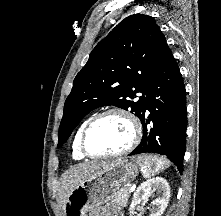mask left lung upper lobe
<instances>
[{
	"label": "left lung upper lobe",
	"instance_id": "1",
	"mask_svg": "<svg viewBox=\"0 0 221 216\" xmlns=\"http://www.w3.org/2000/svg\"><path fill=\"white\" fill-rule=\"evenodd\" d=\"M167 48L151 16L133 14L121 21L90 53L73 82L58 132L63 145L79 122L93 109L114 105L140 118L148 82ZM143 95L136 99V93Z\"/></svg>",
	"mask_w": 221,
	"mask_h": 216
}]
</instances>
